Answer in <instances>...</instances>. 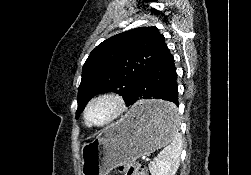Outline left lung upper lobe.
Returning <instances> with one entry per match:
<instances>
[{"label":"left lung upper lobe","mask_w":251,"mask_h":175,"mask_svg":"<svg viewBox=\"0 0 251 175\" xmlns=\"http://www.w3.org/2000/svg\"><path fill=\"white\" fill-rule=\"evenodd\" d=\"M166 48L165 38L156 27L135 28L100 43L83 65L76 118L100 93L115 92L127 102L141 77Z\"/></svg>","instance_id":"obj_1"}]
</instances>
